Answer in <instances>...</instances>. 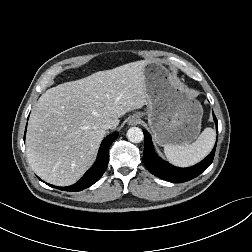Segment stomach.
<instances>
[{"mask_svg":"<svg viewBox=\"0 0 252 252\" xmlns=\"http://www.w3.org/2000/svg\"><path fill=\"white\" fill-rule=\"evenodd\" d=\"M143 74L148 96V125L155 141L162 146L193 142L201 129V104L178 87L162 64L147 63Z\"/></svg>","mask_w":252,"mask_h":252,"instance_id":"obj_1","label":"stomach"}]
</instances>
